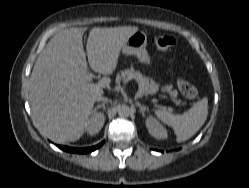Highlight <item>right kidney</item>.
<instances>
[{"mask_svg": "<svg viewBox=\"0 0 249 188\" xmlns=\"http://www.w3.org/2000/svg\"><path fill=\"white\" fill-rule=\"evenodd\" d=\"M105 122V117L101 113L94 112L87 121L86 131L90 136L96 135Z\"/></svg>", "mask_w": 249, "mask_h": 188, "instance_id": "obj_1", "label": "right kidney"}]
</instances>
